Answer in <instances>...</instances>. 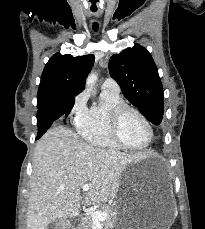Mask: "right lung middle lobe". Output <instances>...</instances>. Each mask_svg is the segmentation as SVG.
<instances>
[{"mask_svg":"<svg viewBox=\"0 0 205 229\" xmlns=\"http://www.w3.org/2000/svg\"><path fill=\"white\" fill-rule=\"evenodd\" d=\"M69 100L74 102V101H75V98H74V97H70ZM51 103H53V101L44 100V101L39 102V101L37 100V108H38V109H41V108H43V107H45V106L50 105Z\"/></svg>","mask_w":205,"mask_h":229,"instance_id":"1","label":"right lung middle lobe"}]
</instances>
